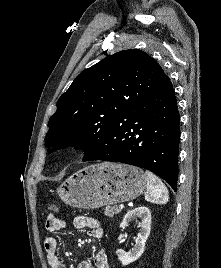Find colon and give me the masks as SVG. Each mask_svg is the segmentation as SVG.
<instances>
[{
    "mask_svg": "<svg viewBox=\"0 0 221 268\" xmlns=\"http://www.w3.org/2000/svg\"><path fill=\"white\" fill-rule=\"evenodd\" d=\"M48 210L50 211L51 215H53L58 212V206L56 204H50Z\"/></svg>",
    "mask_w": 221,
    "mask_h": 268,
    "instance_id": "1",
    "label": "colon"
}]
</instances>
